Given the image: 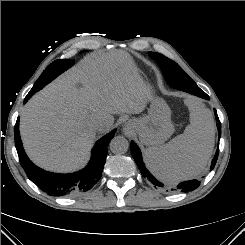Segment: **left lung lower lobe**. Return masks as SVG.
<instances>
[{
  "label": "left lung lower lobe",
  "instance_id": "left-lung-lower-lobe-1",
  "mask_svg": "<svg viewBox=\"0 0 245 245\" xmlns=\"http://www.w3.org/2000/svg\"><path fill=\"white\" fill-rule=\"evenodd\" d=\"M177 89H180L182 91H186L190 94H193V95H196L198 97H201V98H204V99H209V96L204 92L202 91L198 86H195L194 88L193 87H190L188 85V83H179L177 84L176 86H173ZM214 114H215V117H216V123H217V128H218V135L219 137L221 136V123H220V120L218 118V115H217V112L216 110L214 109ZM130 147H131V153H132V156L138 166V168L140 169L141 171V174L143 175V177H146L148 178V180L154 184L155 186H158V187H163V184L160 183L158 180H156L152 175L151 173L146 169L144 163H143V160H142V154H141V151L139 149V147L132 141L131 144H130ZM218 154H219V148L217 149L216 153H215V156L212 160V164H211V170L214 168L215 164H216V161H217V158H218ZM200 185V181L198 180H189V181H185V182H182L180 183L177 187L175 188H172L170 189L171 191H181V192H188V191H192V190H195L198 186Z\"/></svg>",
  "mask_w": 245,
  "mask_h": 245
}]
</instances>
